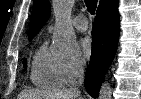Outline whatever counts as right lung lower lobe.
<instances>
[{
    "label": "right lung lower lobe",
    "instance_id": "1",
    "mask_svg": "<svg viewBox=\"0 0 141 99\" xmlns=\"http://www.w3.org/2000/svg\"><path fill=\"white\" fill-rule=\"evenodd\" d=\"M119 38L118 1L105 0L99 4L92 29V55L85 74V87L96 98L101 81L117 49Z\"/></svg>",
    "mask_w": 141,
    "mask_h": 99
}]
</instances>
